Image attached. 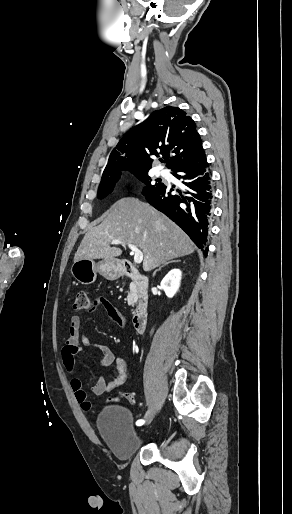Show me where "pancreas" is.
<instances>
[{
    "label": "pancreas",
    "mask_w": 292,
    "mask_h": 514,
    "mask_svg": "<svg viewBox=\"0 0 292 514\" xmlns=\"http://www.w3.org/2000/svg\"><path fill=\"white\" fill-rule=\"evenodd\" d=\"M133 290L132 292H129L128 296H127V302L129 304V306H134V304H136L137 300H138V296H137V288L135 286V284H131Z\"/></svg>",
    "instance_id": "1"
}]
</instances>
